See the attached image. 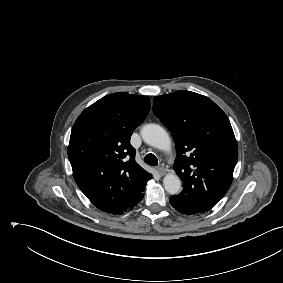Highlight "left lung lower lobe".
Here are the masks:
<instances>
[{"label": "left lung lower lobe", "mask_w": 283, "mask_h": 283, "mask_svg": "<svg viewBox=\"0 0 283 283\" xmlns=\"http://www.w3.org/2000/svg\"><path fill=\"white\" fill-rule=\"evenodd\" d=\"M170 203L177 211L185 215H195L208 211L195 201L187 198L183 194L171 196Z\"/></svg>", "instance_id": "0a47b994"}]
</instances>
